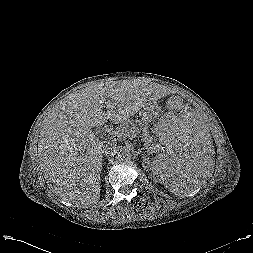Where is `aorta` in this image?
<instances>
[{
	"label": "aorta",
	"instance_id": "1",
	"mask_svg": "<svg viewBox=\"0 0 253 253\" xmlns=\"http://www.w3.org/2000/svg\"><path fill=\"white\" fill-rule=\"evenodd\" d=\"M118 157L121 160H129L132 157V153L131 150L128 147H121L118 150Z\"/></svg>",
	"mask_w": 253,
	"mask_h": 253
}]
</instances>
